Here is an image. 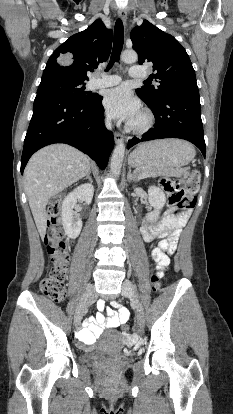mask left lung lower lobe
Returning <instances> with one entry per match:
<instances>
[{
  "label": "left lung lower lobe",
  "mask_w": 233,
  "mask_h": 414,
  "mask_svg": "<svg viewBox=\"0 0 233 414\" xmlns=\"http://www.w3.org/2000/svg\"><path fill=\"white\" fill-rule=\"evenodd\" d=\"M150 107V106H149ZM156 124L141 138H132L127 148L143 141L180 138L192 142L205 156V141L198 92L166 97L157 107H150Z\"/></svg>",
  "instance_id": "obj_1"
}]
</instances>
